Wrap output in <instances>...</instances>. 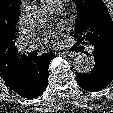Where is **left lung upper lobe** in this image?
Here are the masks:
<instances>
[{"label":"left lung upper lobe","mask_w":113,"mask_h":113,"mask_svg":"<svg viewBox=\"0 0 113 113\" xmlns=\"http://www.w3.org/2000/svg\"><path fill=\"white\" fill-rule=\"evenodd\" d=\"M78 11L76 44L98 42L113 48V22L102 0H74Z\"/></svg>","instance_id":"obj_1"}]
</instances>
